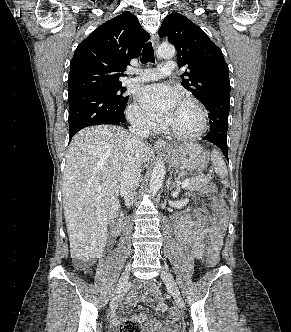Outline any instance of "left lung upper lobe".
Returning a JSON list of instances; mask_svg holds the SVG:
<instances>
[{
	"label": "left lung upper lobe",
	"instance_id": "left-lung-upper-lobe-1",
	"mask_svg": "<svg viewBox=\"0 0 291 332\" xmlns=\"http://www.w3.org/2000/svg\"><path fill=\"white\" fill-rule=\"evenodd\" d=\"M160 36L177 48L179 67L186 66L182 85L204 106L216 98L230 97L229 69L222 51L196 24L179 13L164 18Z\"/></svg>",
	"mask_w": 291,
	"mask_h": 332
}]
</instances>
